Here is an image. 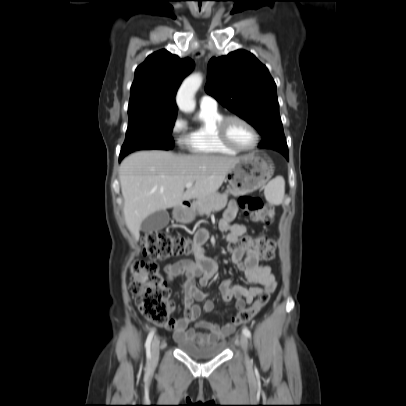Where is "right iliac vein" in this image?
Segmentation results:
<instances>
[{
    "mask_svg": "<svg viewBox=\"0 0 406 406\" xmlns=\"http://www.w3.org/2000/svg\"><path fill=\"white\" fill-rule=\"evenodd\" d=\"M159 351H160V340L158 337H155L153 342H152V348H151V361L156 362L158 357H159Z\"/></svg>",
    "mask_w": 406,
    "mask_h": 406,
    "instance_id": "obj_1",
    "label": "right iliac vein"
}]
</instances>
